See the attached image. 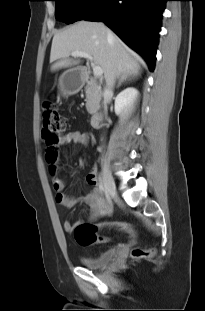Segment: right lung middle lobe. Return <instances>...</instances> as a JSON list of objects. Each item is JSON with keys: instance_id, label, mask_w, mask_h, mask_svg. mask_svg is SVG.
Masks as SVG:
<instances>
[{"instance_id": "dd1d6c3e", "label": "right lung middle lobe", "mask_w": 205, "mask_h": 311, "mask_svg": "<svg viewBox=\"0 0 205 311\" xmlns=\"http://www.w3.org/2000/svg\"><path fill=\"white\" fill-rule=\"evenodd\" d=\"M56 3L55 17L66 24L82 20L93 13L103 0H53Z\"/></svg>"}]
</instances>
